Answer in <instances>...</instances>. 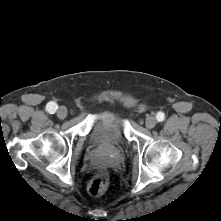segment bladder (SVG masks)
I'll list each match as a JSON object with an SVG mask.
<instances>
[{
	"instance_id": "31cf9c89",
	"label": "bladder",
	"mask_w": 221,
	"mask_h": 221,
	"mask_svg": "<svg viewBox=\"0 0 221 221\" xmlns=\"http://www.w3.org/2000/svg\"><path fill=\"white\" fill-rule=\"evenodd\" d=\"M91 137L98 146L117 147L122 145L125 141V133L120 115L112 110L100 112Z\"/></svg>"
}]
</instances>
